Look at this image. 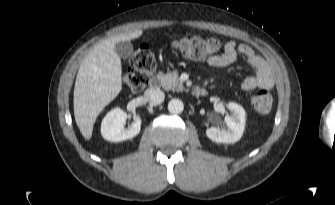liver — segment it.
Masks as SVG:
<instances>
[{
    "instance_id": "1",
    "label": "liver",
    "mask_w": 335,
    "mask_h": 205,
    "mask_svg": "<svg viewBox=\"0 0 335 205\" xmlns=\"http://www.w3.org/2000/svg\"><path fill=\"white\" fill-rule=\"evenodd\" d=\"M142 34V30H136L105 39L82 61L75 81L73 105L76 124L86 140L92 137L98 115L122 90V66L115 45Z\"/></svg>"
}]
</instances>
